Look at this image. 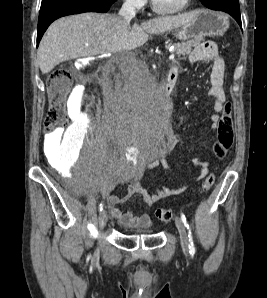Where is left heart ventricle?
Segmentation results:
<instances>
[{"mask_svg": "<svg viewBox=\"0 0 267 298\" xmlns=\"http://www.w3.org/2000/svg\"><path fill=\"white\" fill-rule=\"evenodd\" d=\"M185 0H155L159 8L167 11L177 10Z\"/></svg>", "mask_w": 267, "mask_h": 298, "instance_id": "1", "label": "left heart ventricle"}]
</instances>
